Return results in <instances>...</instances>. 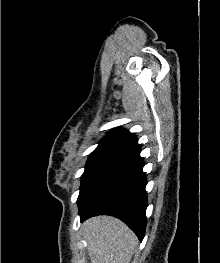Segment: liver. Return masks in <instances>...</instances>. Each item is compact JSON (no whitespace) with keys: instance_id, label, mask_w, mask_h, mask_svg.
I'll return each instance as SVG.
<instances>
[{"instance_id":"obj_1","label":"liver","mask_w":220,"mask_h":263,"mask_svg":"<svg viewBox=\"0 0 220 263\" xmlns=\"http://www.w3.org/2000/svg\"><path fill=\"white\" fill-rule=\"evenodd\" d=\"M91 263H129L138 244L135 234L122 221L96 216L83 224Z\"/></svg>"}]
</instances>
